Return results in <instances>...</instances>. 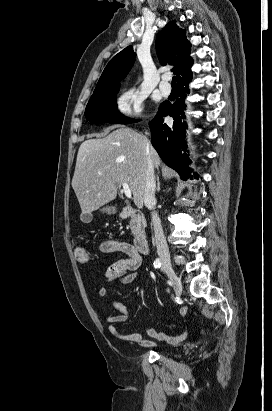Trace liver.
Wrapping results in <instances>:
<instances>
[{"mask_svg": "<svg viewBox=\"0 0 272 411\" xmlns=\"http://www.w3.org/2000/svg\"><path fill=\"white\" fill-rule=\"evenodd\" d=\"M142 134L124 127L104 138L88 139L78 150L72 187L83 214L114 200L126 182L137 207L143 206L148 158L159 168L160 157Z\"/></svg>", "mask_w": 272, "mask_h": 411, "instance_id": "liver-1", "label": "liver"}]
</instances>
